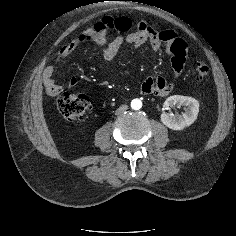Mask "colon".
Wrapping results in <instances>:
<instances>
[{
	"instance_id": "1",
	"label": "colon",
	"mask_w": 236,
	"mask_h": 236,
	"mask_svg": "<svg viewBox=\"0 0 236 236\" xmlns=\"http://www.w3.org/2000/svg\"><path fill=\"white\" fill-rule=\"evenodd\" d=\"M132 22L128 18H117L114 20L113 30L119 28L124 31L130 27ZM209 75V67L206 64H197L195 77L198 81H204ZM57 108L63 118L68 122L81 120L90 108V99L83 93H64L57 99Z\"/></svg>"
}]
</instances>
